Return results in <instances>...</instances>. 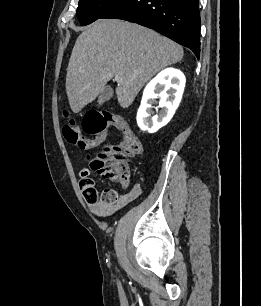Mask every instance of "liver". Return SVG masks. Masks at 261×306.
<instances>
[{
    "label": "liver",
    "mask_w": 261,
    "mask_h": 306,
    "mask_svg": "<svg viewBox=\"0 0 261 306\" xmlns=\"http://www.w3.org/2000/svg\"><path fill=\"white\" fill-rule=\"evenodd\" d=\"M183 55L180 45L141 25L96 21L79 35L69 60L65 86L71 110L80 112L116 75L123 79L116 88L117 100L127 108L145 83Z\"/></svg>",
    "instance_id": "1"
}]
</instances>
